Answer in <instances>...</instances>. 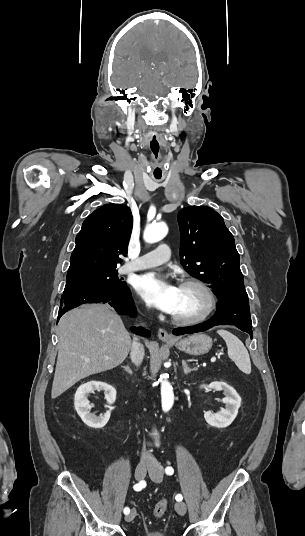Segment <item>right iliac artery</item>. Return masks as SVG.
Instances as JSON below:
<instances>
[{
    "instance_id": "1",
    "label": "right iliac artery",
    "mask_w": 305,
    "mask_h": 536,
    "mask_svg": "<svg viewBox=\"0 0 305 536\" xmlns=\"http://www.w3.org/2000/svg\"><path fill=\"white\" fill-rule=\"evenodd\" d=\"M144 487H145V485H144V483L141 482V481L133 486V488H134L135 491H140V490H142ZM129 512H130V509H129L128 507H126V508L124 509V514L127 515V514H129Z\"/></svg>"
}]
</instances>
